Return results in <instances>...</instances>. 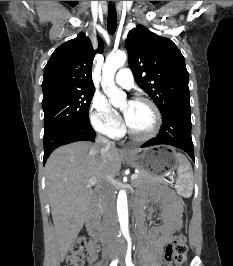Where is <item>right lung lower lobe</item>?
Segmentation results:
<instances>
[{"label": "right lung lower lobe", "instance_id": "obj_1", "mask_svg": "<svg viewBox=\"0 0 233 266\" xmlns=\"http://www.w3.org/2000/svg\"><path fill=\"white\" fill-rule=\"evenodd\" d=\"M95 132L90 123H80L63 126L51 133L44 135L45 164L51 152L59 146L76 141H94Z\"/></svg>", "mask_w": 233, "mask_h": 266}]
</instances>
